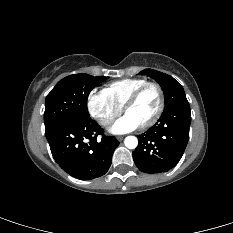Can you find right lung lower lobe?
I'll return each mask as SVG.
<instances>
[{"instance_id": "1", "label": "right lung lower lobe", "mask_w": 233, "mask_h": 233, "mask_svg": "<svg viewBox=\"0 0 233 233\" xmlns=\"http://www.w3.org/2000/svg\"><path fill=\"white\" fill-rule=\"evenodd\" d=\"M102 139L97 141V136ZM51 153L70 175L90 180L104 175L119 142L103 135V129L90 117L65 121L45 129Z\"/></svg>"}]
</instances>
